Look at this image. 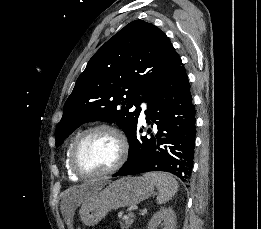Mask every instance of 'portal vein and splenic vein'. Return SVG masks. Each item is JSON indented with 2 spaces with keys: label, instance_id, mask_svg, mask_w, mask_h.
I'll return each instance as SVG.
<instances>
[{
  "label": "portal vein and splenic vein",
  "instance_id": "1",
  "mask_svg": "<svg viewBox=\"0 0 261 229\" xmlns=\"http://www.w3.org/2000/svg\"><path fill=\"white\" fill-rule=\"evenodd\" d=\"M138 214H140L141 218H144L145 215L148 214V211L146 209H143V211H138ZM124 219H128V217H124Z\"/></svg>",
  "mask_w": 261,
  "mask_h": 229
}]
</instances>
